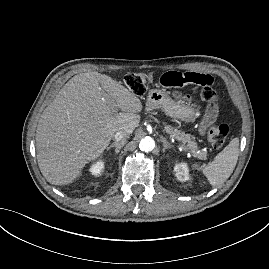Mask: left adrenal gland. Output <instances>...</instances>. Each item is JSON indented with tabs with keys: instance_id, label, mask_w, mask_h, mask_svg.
Instances as JSON below:
<instances>
[{
	"instance_id": "obj_1",
	"label": "left adrenal gland",
	"mask_w": 269,
	"mask_h": 269,
	"mask_svg": "<svg viewBox=\"0 0 269 269\" xmlns=\"http://www.w3.org/2000/svg\"><path fill=\"white\" fill-rule=\"evenodd\" d=\"M161 142L163 143V153H165L167 149L172 148V145L165 138L161 137Z\"/></svg>"
}]
</instances>
